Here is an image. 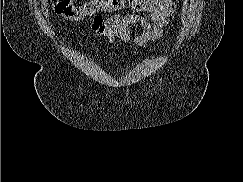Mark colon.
Listing matches in <instances>:
<instances>
[{
	"label": "colon",
	"instance_id": "5ec220e1",
	"mask_svg": "<svg viewBox=\"0 0 243 182\" xmlns=\"http://www.w3.org/2000/svg\"><path fill=\"white\" fill-rule=\"evenodd\" d=\"M55 13L69 20H82L98 13L116 12L123 9L131 0H90L75 4L73 0H52Z\"/></svg>",
	"mask_w": 243,
	"mask_h": 182
}]
</instances>
